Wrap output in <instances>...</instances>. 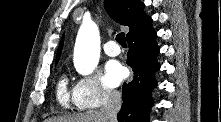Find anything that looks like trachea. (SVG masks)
I'll list each match as a JSON object with an SVG mask.
<instances>
[{
  "label": "trachea",
  "mask_w": 221,
  "mask_h": 122,
  "mask_svg": "<svg viewBox=\"0 0 221 122\" xmlns=\"http://www.w3.org/2000/svg\"><path fill=\"white\" fill-rule=\"evenodd\" d=\"M116 41L122 46V47H126V39H125V34L123 32L117 34L116 36Z\"/></svg>",
  "instance_id": "trachea-1"
}]
</instances>
